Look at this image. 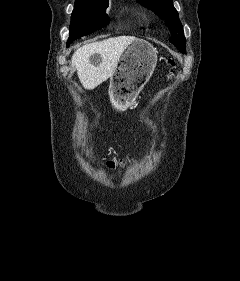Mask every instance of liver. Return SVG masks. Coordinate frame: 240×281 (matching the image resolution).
Wrapping results in <instances>:
<instances>
[{
    "mask_svg": "<svg viewBox=\"0 0 240 281\" xmlns=\"http://www.w3.org/2000/svg\"><path fill=\"white\" fill-rule=\"evenodd\" d=\"M135 40L134 36H118L79 47L72 55L71 64L77 69L83 87L92 90L111 77L124 50ZM94 55L100 56L98 63L92 61Z\"/></svg>",
    "mask_w": 240,
    "mask_h": 281,
    "instance_id": "6515ba94",
    "label": "liver"
}]
</instances>
